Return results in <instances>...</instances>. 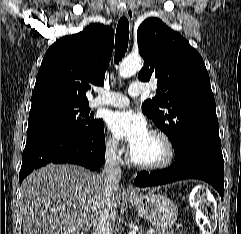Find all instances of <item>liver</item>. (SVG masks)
Masks as SVG:
<instances>
[{
  "label": "liver",
  "mask_w": 241,
  "mask_h": 234,
  "mask_svg": "<svg viewBox=\"0 0 241 234\" xmlns=\"http://www.w3.org/2000/svg\"><path fill=\"white\" fill-rule=\"evenodd\" d=\"M113 208L121 201L117 186ZM105 201L100 175L77 165H47L21 185L23 234H85Z\"/></svg>",
  "instance_id": "obj_1"
}]
</instances>
